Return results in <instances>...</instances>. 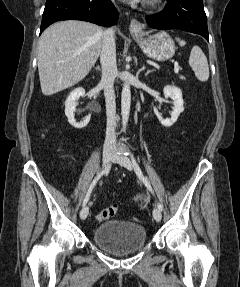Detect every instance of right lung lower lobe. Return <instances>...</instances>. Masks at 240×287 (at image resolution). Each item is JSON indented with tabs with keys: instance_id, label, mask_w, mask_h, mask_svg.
<instances>
[{
	"instance_id": "98d812e1",
	"label": "right lung lower lobe",
	"mask_w": 240,
	"mask_h": 287,
	"mask_svg": "<svg viewBox=\"0 0 240 287\" xmlns=\"http://www.w3.org/2000/svg\"><path fill=\"white\" fill-rule=\"evenodd\" d=\"M68 19L111 26L117 22L118 12L110 0H46L40 34L50 24Z\"/></svg>"
}]
</instances>
